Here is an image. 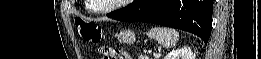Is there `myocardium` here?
<instances>
[{
  "instance_id": "1",
  "label": "myocardium",
  "mask_w": 261,
  "mask_h": 59,
  "mask_svg": "<svg viewBox=\"0 0 261 59\" xmlns=\"http://www.w3.org/2000/svg\"><path fill=\"white\" fill-rule=\"evenodd\" d=\"M128 2V0H120V2L114 4L113 6L111 7H108L106 9H96V8H93L92 7V10L94 12H97V13H101V14H106V13H110L118 8H120L124 3Z\"/></svg>"
}]
</instances>
